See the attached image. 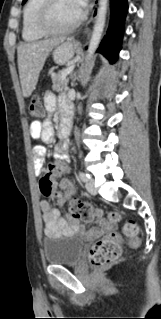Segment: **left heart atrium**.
<instances>
[{
	"label": "left heart atrium",
	"instance_id": "1",
	"mask_svg": "<svg viewBox=\"0 0 161 319\" xmlns=\"http://www.w3.org/2000/svg\"><path fill=\"white\" fill-rule=\"evenodd\" d=\"M75 1L80 8H83L87 3V0H75Z\"/></svg>",
	"mask_w": 161,
	"mask_h": 319
}]
</instances>
